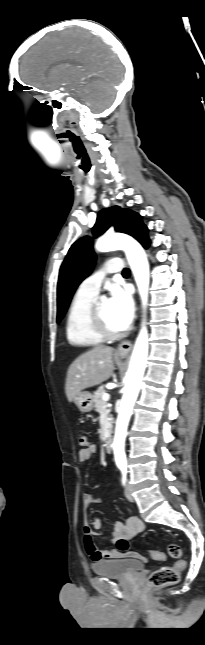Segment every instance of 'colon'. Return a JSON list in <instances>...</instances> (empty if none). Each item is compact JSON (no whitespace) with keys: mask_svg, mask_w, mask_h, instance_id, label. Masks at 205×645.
Returning a JSON list of instances; mask_svg holds the SVG:
<instances>
[{"mask_svg":"<svg viewBox=\"0 0 205 645\" xmlns=\"http://www.w3.org/2000/svg\"><path fill=\"white\" fill-rule=\"evenodd\" d=\"M78 443L82 447V449L89 447V440L83 434H80L78 436ZM116 547L118 550L126 552L129 549V541L125 539H119L116 543ZM168 553L171 557L176 559V562L173 566H164L154 571L148 578V582L151 587L162 588L174 585L179 581L181 572L185 569L186 566L185 561L181 558V548L175 543H170L168 546ZM148 554L154 560L165 559L164 553L160 551L152 550L149 551Z\"/></svg>","mask_w":205,"mask_h":645,"instance_id":"colon-1","label":"colon"}]
</instances>
